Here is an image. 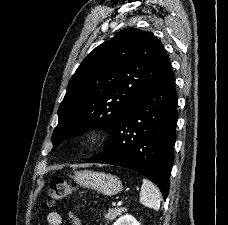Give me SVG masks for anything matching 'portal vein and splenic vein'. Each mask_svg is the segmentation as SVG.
I'll list each match as a JSON object with an SVG mask.
<instances>
[{
  "label": "portal vein and splenic vein",
  "mask_w": 228,
  "mask_h": 225,
  "mask_svg": "<svg viewBox=\"0 0 228 225\" xmlns=\"http://www.w3.org/2000/svg\"><path fill=\"white\" fill-rule=\"evenodd\" d=\"M135 196L134 195H129V199L126 200H119V202H117V200H112V205H117V203H119L118 205L120 207H128L129 205H131L130 203L132 202L131 200H134Z\"/></svg>",
  "instance_id": "portal-vein-and-splenic-vein-1"
}]
</instances>
